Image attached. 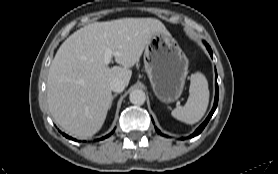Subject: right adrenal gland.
<instances>
[{"label":"right adrenal gland","mask_w":278,"mask_h":174,"mask_svg":"<svg viewBox=\"0 0 278 174\" xmlns=\"http://www.w3.org/2000/svg\"><path fill=\"white\" fill-rule=\"evenodd\" d=\"M116 96H117V94H114V95L112 96V100H113Z\"/></svg>","instance_id":"1"}]
</instances>
